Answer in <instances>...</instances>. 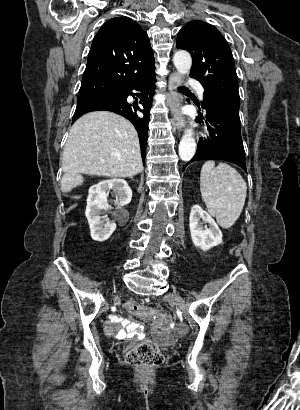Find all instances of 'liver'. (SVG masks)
Wrapping results in <instances>:
<instances>
[{
    "mask_svg": "<svg viewBox=\"0 0 300 410\" xmlns=\"http://www.w3.org/2000/svg\"><path fill=\"white\" fill-rule=\"evenodd\" d=\"M62 192L84 181L82 174L132 177L143 170L140 143L134 126L108 111L83 115L72 126L62 154Z\"/></svg>",
    "mask_w": 300,
    "mask_h": 410,
    "instance_id": "1",
    "label": "liver"
}]
</instances>
